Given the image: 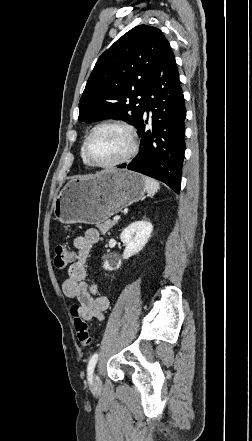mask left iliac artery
I'll list each match as a JSON object with an SVG mask.
<instances>
[{
    "label": "left iliac artery",
    "mask_w": 252,
    "mask_h": 441,
    "mask_svg": "<svg viewBox=\"0 0 252 441\" xmlns=\"http://www.w3.org/2000/svg\"><path fill=\"white\" fill-rule=\"evenodd\" d=\"M97 360H98V353H94L89 360L87 375H88V381L90 382L92 381L93 371L97 363Z\"/></svg>",
    "instance_id": "1"
}]
</instances>
